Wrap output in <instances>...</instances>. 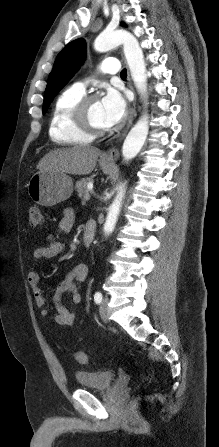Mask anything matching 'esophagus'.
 <instances>
[{
	"label": "esophagus",
	"instance_id": "obj_1",
	"mask_svg": "<svg viewBox=\"0 0 219 447\" xmlns=\"http://www.w3.org/2000/svg\"><path fill=\"white\" fill-rule=\"evenodd\" d=\"M123 57V54H122ZM128 79L130 81V75L128 73ZM131 89H133V87L131 86ZM136 116V99L133 101V104L130 108V112H129V117H128V121L126 124V127L124 128V130L122 131L121 134H119L117 136V142H120L122 140V138L125 136V134L127 133L128 129L130 128V126L132 125L133 119ZM104 158L109 161V162H114L119 158V151L116 148V146L111 147L105 154H104Z\"/></svg>",
	"mask_w": 219,
	"mask_h": 447
}]
</instances>
